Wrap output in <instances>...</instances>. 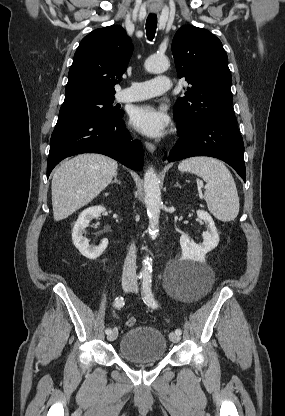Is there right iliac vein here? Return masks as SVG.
<instances>
[{"instance_id": "63e3f726", "label": "right iliac vein", "mask_w": 285, "mask_h": 416, "mask_svg": "<svg viewBox=\"0 0 285 416\" xmlns=\"http://www.w3.org/2000/svg\"><path fill=\"white\" fill-rule=\"evenodd\" d=\"M133 284H134V282H133V280H132V279H126V278H123V280H122V288H123V290H124V291L129 290V288H130ZM117 336H118V330H117V328H114V329L111 331V333L107 336V339H108L109 341H114V340L117 338Z\"/></svg>"}]
</instances>
